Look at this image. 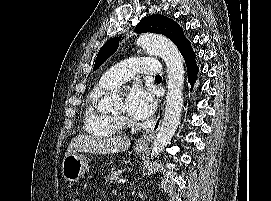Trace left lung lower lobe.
<instances>
[{
  "label": "left lung lower lobe",
  "mask_w": 271,
  "mask_h": 201,
  "mask_svg": "<svg viewBox=\"0 0 271 201\" xmlns=\"http://www.w3.org/2000/svg\"><path fill=\"white\" fill-rule=\"evenodd\" d=\"M179 51L181 52V54L184 57V60L186 62V66H187L188 79L191 82V84L193 85L196 80V76H197V72H198V67L195 62V54H194L189 42H187L185 45H183L179 49Z\"/></svg>",
  "instance_id": "0a47b994"
}]
</instances>
